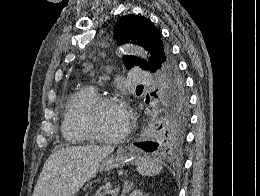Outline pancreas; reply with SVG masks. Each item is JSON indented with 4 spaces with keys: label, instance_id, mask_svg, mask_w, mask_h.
Here are the masks:
<instances>
[{
    "label": "pancreas",
    "instance_id": "pancreas-1",
    "mask_svg": "<svg viewBox=\"0 0 260 196\" xmlns=\"http://www.w3.org/2000/svg\"><path fill=\"white\" fill-rule=\"evenodd\" d=\"M110 186H102V188H99L97 190L95 196H107V192H109Z\"/></svg>",
    "mask_w": 260,
    "mask_h": 196
}]
</instances>
